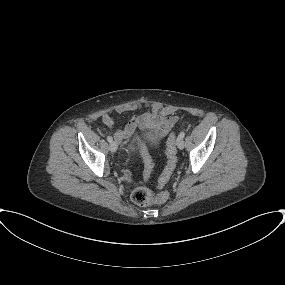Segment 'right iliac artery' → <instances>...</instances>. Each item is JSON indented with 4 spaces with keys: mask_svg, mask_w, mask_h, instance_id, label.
<instances>
[{
    "mask_svg": "<svg viewBox=\"0 0 285 285\" xmlns=\"http://www.w3.org/2000/svg\"><path fill=\"white\" fill-rule=\"evenodd\" d=\"M107 141L111 143L113 141V138L111 136H108Z\"/></svg>",
    "mask_w": 285,
    "mask_h": 285,
    "instance_id": "1",
    "label": "right iliac artery"
}]
</instances>
